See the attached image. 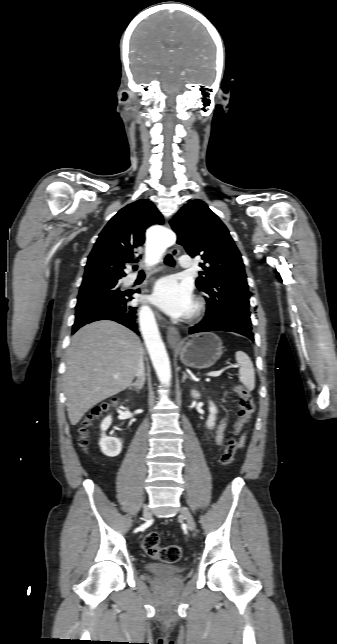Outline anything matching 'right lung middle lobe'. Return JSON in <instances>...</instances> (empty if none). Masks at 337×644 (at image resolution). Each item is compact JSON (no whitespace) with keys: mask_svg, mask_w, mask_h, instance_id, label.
I'll return each mask as SVG.
<instances>
[{"mask_svg":"<svg viewBox=\"0 0 337 644\" xmlns=\"http://www.w3.org/2000/svg\"><path fill=\"white\" fill-rule=\"evenodd\" d=\"M121 278H95L83 281L80 286L76 309L104 303L125 296L129 290H121Z\"/></svg>","mask_w":337,"mask_h":644,"instance_id":"1","label":"right lung middle lobe"}]
</instances>
